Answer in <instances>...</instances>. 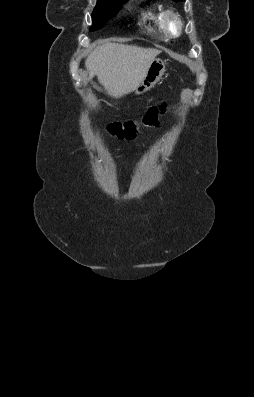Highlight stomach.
<instances>
[{
  "mask_svg": "<svg viewBox=\"0 0 254 397\" xmlns=\"http://www.w3.org/2000/svg\"><path fill=\"white\" fill-rule=\"evenodd\" d=\"M164 73L165 63L159 58L154 59L150 64L144 78L136 87L135 93L140 95L150 90L162 78Z\"/></svg>",
  "mask_w": 254,
  "mask_h": 397,
  "instance_id": "obj_1",
  "label": "stomach"
}]
</instances>
